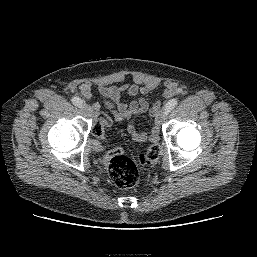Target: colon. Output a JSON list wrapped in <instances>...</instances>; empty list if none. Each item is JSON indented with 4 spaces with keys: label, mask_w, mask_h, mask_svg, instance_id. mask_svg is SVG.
Masks as SVG:
<instances>
[{
    "label": "colon",
    "mask_w": 257,
    "mask_h": 257,
    "mask_svg": "<svg viewBox=\"0 0 257 257\" xmlns=\"http://www.w3.org/2000/svg\"><path fill=\"white\" fill-rule=\"evenodd\" d=\"M112 124L111 118L103 122H97L92 129L93 149L101 148L100 140L104 138L105 129ZM159 148L156 144L149 146L146 150L138 152L134 158L126 156L122 149L117 148L110 152L109 175L113 183L122 189L135 186L139 180L143 168L151 166L158 157Z\"/></svg>",
    "instance_id": "5ec220e1"
}]
</instances>
